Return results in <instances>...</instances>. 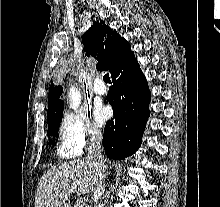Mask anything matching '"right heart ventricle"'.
<instances>
[{
    "label": "right heart ventricle",
    "mask_w": 220,
    "mask_h": 207,
    "mask_svg": "<svg viewBox=\"0 0 220 207\" xmlns=\"http://www.w3.org/2000/svg\"><path fill=\"white\" fill-rule=\"evenodd\" d=\"M57 154L61 157V158H64V159H72V158H75L77 157L78 155H80L79 153L75 152V151H72V150H69L65 147H63L62 145H60L58 148H57Z\"/></svg>",
    "instance_id": "e07e8e85"
}]
</instances>
